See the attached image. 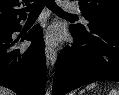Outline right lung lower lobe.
<instances>
[{
  "mask_svg": "<svg viewBox=\"0 0 119 95\" xmlns=\"http://www.w3.org/2000/svg\"><path fill=\"white\" fill-rule=\"evenodd\" d=\"M20 25L0 33V85L20 95H43L46 83L45 47L42 29L35 26L23 39L32 44L26 50L16 48L12 34Z\"/></svg>",
  "mask_w": 119,
  "mask_h": 95,
  "instance_id": "right-lung-lower-lobe-1",
  "label": "right lung lower lobe"
}]
</instances>
